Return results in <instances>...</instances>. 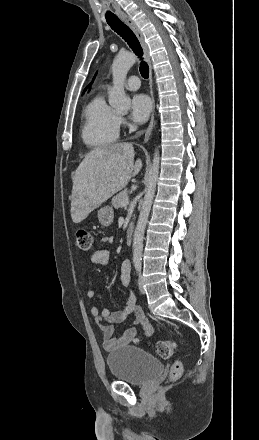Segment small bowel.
I'll list each match as a JSON object with an SVG mask.
<instances>
[{
  "instance_id": "small-bowel-1",
  "label": "small bowel",
  "mask_w": 259,
  "mask_h": 440,
  "mask_svg": "<svg viewBox=\"0 0 259 440\" xmlns=\"http://www.w3.org/2000/svg\"><path fill=\"white\" fill-rule=\"evenodd\" d=\"M103 241L111 243L113 237H105ZM110 260V253L108 250L101 249L93 253L91 261L99 265H107ZM131 263L128 259H124L120 265V281L125 287L130 285L131 281ZM86 296L92 299L96 296L95 290H88ZM91 315L95 318L102 334L103 346L107 350H112L128 344L137 336V330L134 326L127 328L121 336L115 335V324L123 323L130 315H133V324H140L144 327L146 336H151L153 327L150 320L145 316L142 308L136 303V296L131 291L128 295L127 301L122 309L110 311L107 308H100L92 306L90 309Z\"/></svg>"
}]
</instances>
